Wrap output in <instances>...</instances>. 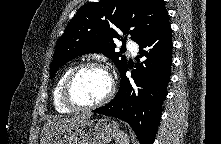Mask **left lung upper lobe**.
I'll return each instance as SVG.
<instances>
[{
    "label": "left lung upper lobe",
    "instance_id": "5c2ea615",
    "mask_svg": "<svg viewBox=\"0 0 221 144\" xmlns=\"http://www.w3.org/2000/svg\"><path fill=\"white\" fill-rule=\"evenodd\" d=\"M166 13L164 0H100L80 7L56 45L50 78L66 62L94 52L105 54L121 71L128 61L115 52V40L123 33L141 42Z\"/></svg>",
    "mask_w": 221,
    "mask_h": 144
}]
</instances>
